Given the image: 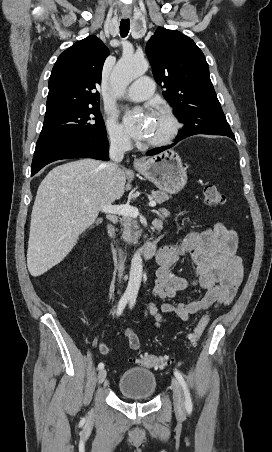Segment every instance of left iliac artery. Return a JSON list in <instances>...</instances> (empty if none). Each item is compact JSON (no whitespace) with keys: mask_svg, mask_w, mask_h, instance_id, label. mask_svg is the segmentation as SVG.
<instances>
[{"mask_svg":"<svg viewBox=\"0 0 272 452\" xmlns=\"http://www.w3.org/2000/svg\"><path fill=\"white\" fill-rule=\"evenodd\" d=\"M135 301H136V297L132 296L130 298V308H132L134 306ZM174 375H175V377L177 378V380L179 381V383L181 384V386H182V388L184 390L185 407H186L187 412L190 414L192 412L193 405H192V400H191V396H190V392L188 390L187 384H186L182 374L179 371L175 370L174 371Z\"/></svg>","mask_w":272,"mask_h":452,"instance_id":"left-iliac-artery-1","label":"left iliac artery"}]
</instances>
